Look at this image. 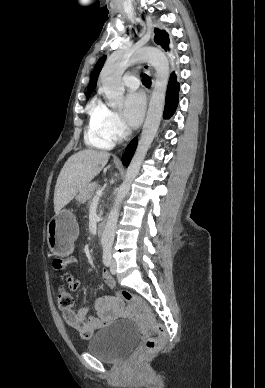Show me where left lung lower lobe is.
Here are the masks:
<instances>
[{
  "label": "left lung lower lobe",
  "mask_w": 265,
  "mask_h": 388,
  "mask_svg": "<svg viewBox=\"0 0 265 388\" xmlns=\"http://www.w3.org/2000/svg\"><path fill=\"white\" fill-rule=\"evenodd\" d=\"M179 90L180 84L178 82L177 73L172 71L166 91V101L163 113L164 119H169L173 116L179 102Z\"/></svg>",
  "instance_id": "left-lung-lower-lobe-1"
}]
</instances>
